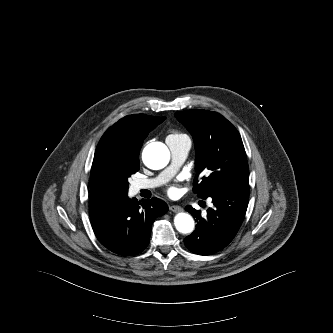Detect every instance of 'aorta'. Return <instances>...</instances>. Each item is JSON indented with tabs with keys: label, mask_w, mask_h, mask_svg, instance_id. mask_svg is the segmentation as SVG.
Masks as SVG:
<instances>
[{
	"label": "aorta",
	"mask_w": 333,
	"mask_h": 333,
	"mask_svg": "<svg viewBox=\"0 0 333 333\" xmlns=\"http://www.w3.org/2000/svg\"><path fill=\"white\" fill-rule=\"evenodd\" d=\"M144 164L153 170L164 168L170 160V152L166 145L160 142L148 144L142 153ZM174 225L178 232L189 234L193 232L195 223L191 215L188 213H178L174 217Z\"/></svg>",
	"instance_id": "obj_1"
}]
</instances>
